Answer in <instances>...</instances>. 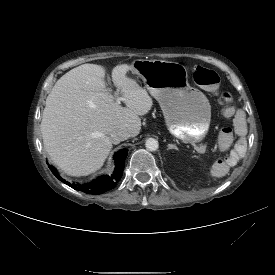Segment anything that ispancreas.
Listing matches in <instances>:
<instances>
[{
  "label": "pancreas",
  "instance_id": "obj_1",
  "mask_svg": "<svg viewBox=\"0 0 275 275\" xmlns=\"http://www.w3.org/2000/svg\"><path fill=\"white\" fill-rule=\"evenodd\" d=\"M205 145H201L200 147H204Z\"/></svg>",
  "mask_w": 275,
  "mask_h": 275
}]
</instances>
